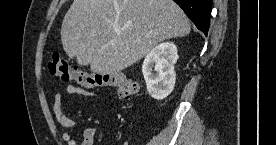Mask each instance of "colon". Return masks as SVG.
Returning a JSON list of instances; mask_svg holds the SVG:
<instances>
[{
  "instance_id": "obj_1",
  "label": "colon",
  "mask_w": 276,
  "mask_h": 145,
  "mask_svg": "<svg viewBox=\"0 0 276 145\" xmlns=\"http://www.w3.org/2000/svg\"><path fill=\"white\" fill-rule=\"evenodd\" d=\"M49 74L63 81H75L86 88L111 87L120 97L128 98L138 92L136 83L125 73H98L70 67L60 55H53L48 62Z\"/></svg>"
}]
</instances>
